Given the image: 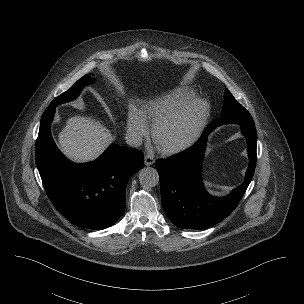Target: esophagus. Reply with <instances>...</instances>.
Masks as SVG:
<instances>
[{
  "mask_svg": "<svg viewBox=\"0 0 304 304\" xmlns=\"http://www.w3.org/2000/svg\"><path fill=\"white\" fill-rule=\"evenodd\" d=\"M144 163L146 166L153 165L155 163V159L151 154H146L144 157Z\"/></svg>",
  "mask_w": 304,
  "mask_h": 304,
  "instance_id": "esophagus-1",
  "label": "esophagus"
}]
</instances>
